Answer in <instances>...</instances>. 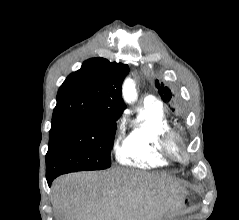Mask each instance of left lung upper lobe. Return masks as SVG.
<instances>
[{"mask_svg": "<svg viewBox=\"0 0 239 220\" xmlns=\"http://www.w3.org/2000/svg\"><path fill=\"white\" fill-rule=\"evenodd\" d=\"M155 84L162 100L170 107L173 112L181 114L183 111V106L179 101L173 99L174 94L171 92V90L164 86L163 82H159L158 80L155 81Z\"/></svg>", "mask_w": 239, "mask_h": 220, "instance_id": "left-lung-upper-lobe-1", "label": "left lung upper lobe"}]
</instances>
